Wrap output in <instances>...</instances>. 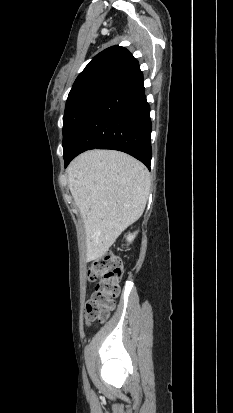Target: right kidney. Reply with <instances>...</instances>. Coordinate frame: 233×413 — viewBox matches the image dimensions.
Masks as SVG:
<instances>
[{
  "label": "right kidney",
  "instance_id": "1",
  "mask_svg": "<svg viewBox=\"0 0 233 413\" xmlns=\"http://www.w3.org/2000/svg\"><path fill=\"white\" fill-rule=\"evenodd\" d=\"M135 236H136V233H134V234H129V235L127 236V241H128V242H132V241L134 240Z\"/></svg>",
  "mask_w": 233,
  "mask_h": 413
}]
</instances>
